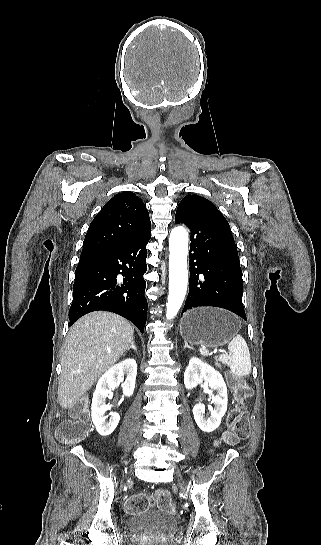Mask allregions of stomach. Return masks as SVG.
Instances as JSON below:
<instances>
[{
    "label": "stomach",
    "mask_w": 321,
    "mask_h": 545,
    "mask_svg": "<svg viewBox=\"0 0 321 545\" xmlns=\"http://www.w3.org/2000/svg\"><path fill=\"white\" fill-rule=\"evenodd\" d=\"M241 321L233 313L216 307L187 311L180 323L181 337L191 345L221 347L238 333Z\"/></svg>",
    "instance_id": "0dacf381"
}]
</instances>
